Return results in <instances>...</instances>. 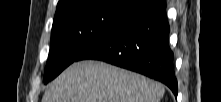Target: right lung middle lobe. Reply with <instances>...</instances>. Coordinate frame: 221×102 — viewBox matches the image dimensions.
Masks as SVG:
<instances>
[{"label":"right lung middle lobe","mask_w":221,"mask_h":102,"mask_svg":"<svg viewBox=\"0 0 221 102\" xmlns=\"http://www.w3.org/2000/svg\"><path fill=\"white\" fill-rule=\"evenodd\" d=\"M137 11L126 0H86L77 7L56 14L45 84Z\"/></svg>","instance_id":"1"}]
</instances>
